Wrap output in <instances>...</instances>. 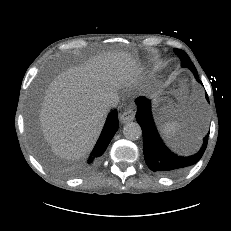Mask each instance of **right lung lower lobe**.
<instances>
[{
    "label": "right lung lower lobe",
    "instance_id": "1",
    "mask_svg": "<svg viewBox=\"0 0 231 231\" xmlns=\"http://www.w3.org/2000/svg\"><path fill=\"white\" fill-rule=\"evenodd\" d=\"M117 130H118V115H117V110H113L108 115L102 134L95 148L93 149L90 157L86 162L85 169H89L98 164L101 155L105 152L108 144L110 143L111 139L113 138Z\"/></svg>",
    "mask_w": 231,
    "mask_h": 231
}]
</instances>
